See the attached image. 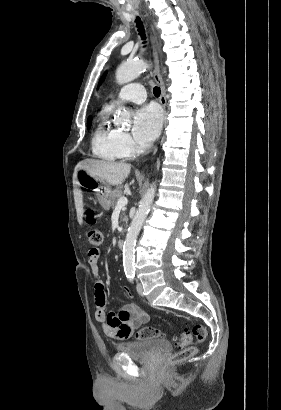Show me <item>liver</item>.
I'll return each mask as SVG.
<instances>
[{"label":"liver","instance_id":"liver-1","mask_svg":"<svg viewBox=\"0 0 281 410\" xmlns=\"http://www.w3.org/2000/svg\"><path fill=\"white\" fill-rule=\"evenodd\" d=\"M79 168L87 170L93 176L103 178L113 186L122 184L131 171V165L127 163H114L97 159H85L78 164ZM73 184L78 186L77 175H73ZM77 219L79 224L83 223V195L81 191L74 194Z\"/></svg>","mask_w":281,"mask_h":410}]
</instances>
